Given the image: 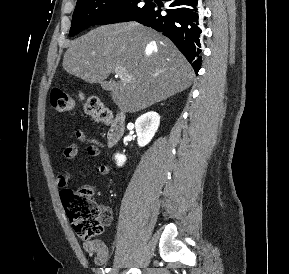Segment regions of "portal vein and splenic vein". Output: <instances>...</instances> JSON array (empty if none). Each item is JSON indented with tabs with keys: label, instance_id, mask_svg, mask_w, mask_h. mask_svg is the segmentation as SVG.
I'll list each match as a JSON object with an SVG mask.
<instances>
[{
	"label": "portal vein and splenic vein",
	"instance_id": "obj_1",
	"mask_svg": "<svg viewBox=\"0 0 289 274\" xmlns=\"http://www.w3.org/2000/svg\"><path fill=\"white\" fill-rule=\"evenodd\" d=\"M114 72H115L116 76L120 77V79H123L125 77V68L124 67H121V66L116 67L114 69Z\"/></svg>",
	"mask_w": 289,
	"mask_h": 274
}]
</instances>
